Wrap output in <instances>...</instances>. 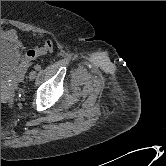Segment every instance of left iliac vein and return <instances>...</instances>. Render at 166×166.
I'll use <instances>...</instances> for the list:
<instances>
[{"instance_id":"4c4485c4","label":"left iliac vein","mask_w":166,"mask_h":166,"mask_svg":"<svg viewBox=\"0 0 166 166\" xmlns=\"http://www.w3.org/2000/svg\"><path fill=\"white\" fill-rule=\"evenodd\" d=\"M36 75H37L36 71L33 70L29 73L28 77L30 80H34L36 78Z\"/></svg>"}]
</instances>
